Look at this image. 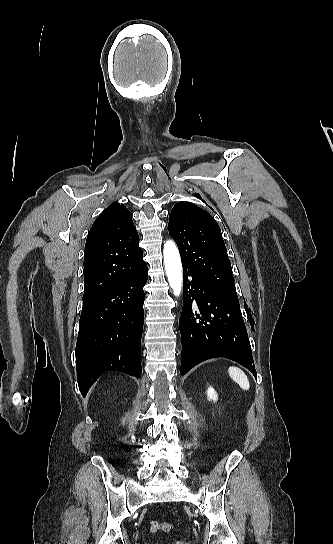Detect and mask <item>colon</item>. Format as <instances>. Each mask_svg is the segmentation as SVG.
I'll use <instances>...</instances> for the list:
<instances>
[{
  "mask_svg": "<svg viewBox=\"0 0 333 544\" xmlns=\"http://www.w3.org/2000/svg\"><path fill=\"white\" fill-rule=\"evenodd\" d=\"M172 529L173 525L169 522L153 521L149 526V530L153 534L160 532H170Z\"/></svg>",
  "mask_w": 333,
  "mask_h": 544,
  "instance_id": "colon-1",
  "label": "colon"
}]
</instances>
